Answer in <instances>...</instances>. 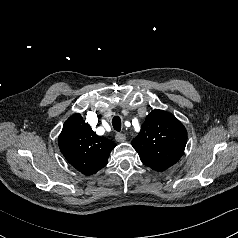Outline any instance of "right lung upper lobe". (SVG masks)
<instances>
[{"label":"right lung upper lobe","instance_id":"obj_1","mask_svg":"<svg viewBox=\"0 0 238 238\" xmlns=\"http://www.w3.org/2000/svg\"><path fill=\"white\" fill-rule=\"evenodd\" d=\"M59 148L66 160L85 175L97 173L108 163L116 144L96 135L80 114L71 116L58 138Z\"/></svg>","mask_w":238,"mask_h":238}]
</instances>
